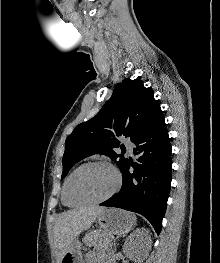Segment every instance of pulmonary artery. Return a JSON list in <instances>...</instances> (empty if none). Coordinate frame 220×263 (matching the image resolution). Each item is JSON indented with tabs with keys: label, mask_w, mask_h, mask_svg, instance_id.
I'll return each mask as SVG.
<instances>
[{
	"label": "pulmonary artery",
	"mask_w": 220,
	"mask_h": 263,
	"mask_svg": "<svg viewBox=\"0 0 220 263\" xmlns=\"http://www.w3.org/2000/svg\"><path fill=\"white\" fill-rule=\"evenodd\" d=\"M125 145L127 146L129 152L132 153V151H133V144L129 140H126L125 141Z\"/></svg>",
	"instance_id": "pulmonary-artery-1"
}]
</instances>
